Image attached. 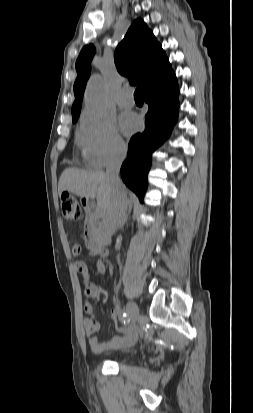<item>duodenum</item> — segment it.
Returning a JSON list of instances; mask_svg holds the SVG:
<instances>
[{"mask_svg": "<svg viewBox=\"0 0 253 413\" xmlns=\"http://www.w3.org/2000/svg\"><path fill=\"white\" fill-rule=\"evenodd\" d=\"M82 204H83L85 212L88 215H91L94 209L93 204L89 200H86V199L82 201ZM85 237L93 253L101 255V256H106L108 254L107 249L102 244L99 227L95 222L91 221L88 224L85 230Z\"/></svg>", "mask_w": 253, "mask_h": 413, "instance_id": "410a0bca", "label": "duodenum"}]
</instances>
